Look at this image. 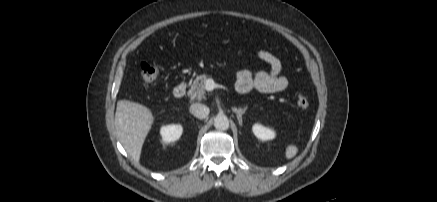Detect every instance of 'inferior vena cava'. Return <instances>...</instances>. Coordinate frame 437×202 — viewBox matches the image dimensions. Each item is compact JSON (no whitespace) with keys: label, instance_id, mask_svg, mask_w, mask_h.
Here are the masks:
<instances>
[{"label":"inferior vena cava","instance_id":"obj_1","mask_svg":"<svg viewBox=\"0 0 437 202\" xmlns=\"http://www.w3.org/2000/svg\"><path fill=\"white\" fill-rule=\"evenodd\" d=\"M189 110L199 119H205L209 114V108L201 103H193Z\"/></svg>","mask_w":437,"mask_h":202}]
</instances>
